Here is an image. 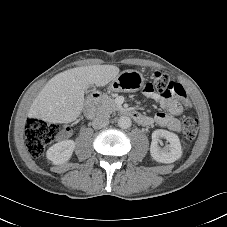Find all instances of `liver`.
I'll return each mask as SVG.
<instances>
[{"instance_id":"6515ba94","label":"liver","mask_w":227,"mask_h":227,"mask_svg":"<svg viewBox=\"0 0 227 227\" xmlns=\"http://www.w3.org/2000/svg\"><path fill=\"white\" fill-rule=\"evenodd\" d=\"M119 74L113 65H92L66 70L50 79L30 108V115L50 123L75 121L84 105L90 85L105 86Z\"/></svg>"}]
</instances>
